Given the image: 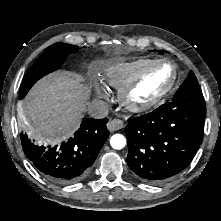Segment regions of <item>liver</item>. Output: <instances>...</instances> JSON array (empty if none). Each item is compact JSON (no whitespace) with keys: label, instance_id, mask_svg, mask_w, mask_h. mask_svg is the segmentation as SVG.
Segmentation results:
<instances>
[{"label":"liver","instance_id":"obj_1","mask_svg":"<svg viewBox=\"0 0 221 221\" xmlns=\"http://www.w3.org/2000/svg\"><path fill=\"white\" fill-rule=\"evenodd\" d=\"M89 94L79 74L59 71L36 83L18 114L35 138L68 137L79 127Z\"/></svg>","mask_w":221,"mask_h":221}]
</instances>
